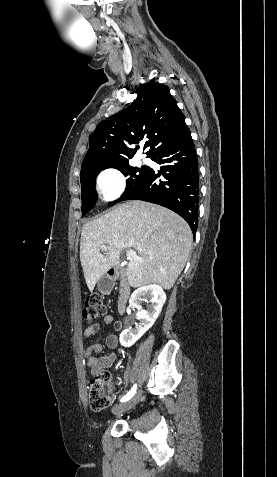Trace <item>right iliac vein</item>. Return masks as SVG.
Returning a JSON list of instances; mask_svg holds the SVG:
<instances>
[{
    "label": "right iliac vein",
    "mask_w": 277,
    "mask_h": 477,
    "mask_svg": "<svg viewBox=\"0 0 277 477\" xmlns=\"http://www.w3.org/2000/svg\"><path fill=\"white\" fill-rule=\"evenodd\" d=\"M140 396H141V392H138L130 400H128L124 403H121L119 405L114 406L113 409H112V413L116 414V415H119V414H122V413L128 411L129 409L133 408L138 403Z\"/></svg>",
    "instance_id": "63e3f726"
}]
</instances>
